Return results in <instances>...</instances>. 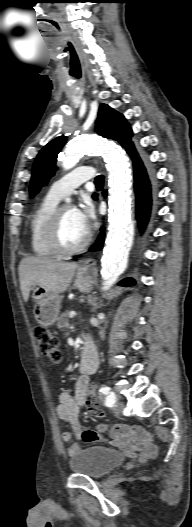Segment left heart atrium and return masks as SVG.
<instances>
[{"mask_svg":"<svg viewBox=\"0 0 192 527\" xmlns=\"http://www.w3.org/2000/svg\"><path fill=\"white\" fill-rule=\"evenodd\" d=\"M75 213L80 224L89 231L95 217L93 208L86 203L82 208L75 210Z\"/></svg>","mask_w":192,"mask_h":527,"instance_id":"obj_1","label":"left heart atrium"}]
</instances>
